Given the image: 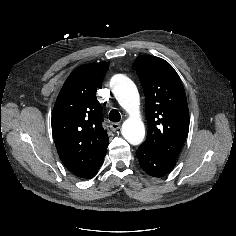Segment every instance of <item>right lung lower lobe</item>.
I'll return each mask as SVG.
<instances>
[{"instance_id":"1","label":"right lung lower lobe","mask_w":236,"mask_h":236,"mask_svg":"<svg viewBox=\"0 0 236 236\" xmlns=\"http://www.w3.org/2000/svg\"><path fill=\"white\" fill-rule=\"evenodd\" d=\"M96 173H97V172H96ZM96 173H95L93 176H95V175H96ZM93 176H92V177H93ZM92 177H91V178H92Z\"/></svg>"}]
</instances>
